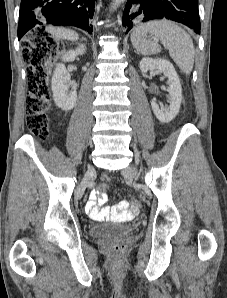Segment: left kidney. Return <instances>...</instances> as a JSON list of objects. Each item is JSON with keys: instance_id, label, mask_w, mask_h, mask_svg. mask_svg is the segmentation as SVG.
Returning a JSON list of instances; mask_svg holds the SVG:
<instances>
[{"instance_id": "left-kidney-1", "label": "left kidney", "mask_w": 227, "mask_h": 298, "mask_svg": "<svg viewBox=\"0 0 227 298\" xmlns=\"http://www.w3.org/2000/svg\"><path fill=\"white\" fill-rule=\"evenodd\" d=\"M143 73L153 70L161 71L168 78L169 105L159 106L155 100L151 101L152 110L162 123L173 120L179 112L182 101V88L179 77L173 65L166 59L143 58L139 64Z\"/></svg>"}]
</instances>
